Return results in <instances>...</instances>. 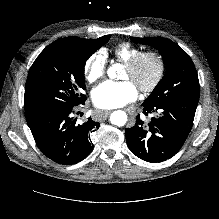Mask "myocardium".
<instances>
[{
	"instance_id": "obj_1",
	"label": "myocardium",
	"mask_w": 219,
	"mask_h": 219,
	"mask_svg": "<svg viewBox=\"0 0 219 219\" xmlns=\"http://www.w3.org/2000/svg\"><path fill=\"white\" fill-rule=\"evenodd\" d=\"M147 59H152L155 62L156 72L150 83L138 86V89L142 93H151L160 85L166 71V63L163 56L159 52L153 50L142 51L133 59L124 64V67L128 71L135 72Z\"/></svg>"
}]
</instances>
